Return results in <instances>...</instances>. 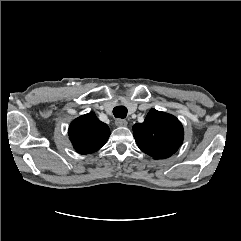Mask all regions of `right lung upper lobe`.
Returning <instances> with one entry per match:
<instances>
[{"mask_svg":"<svg viewBox=\"0 0 241 241\" xmlns=\"http://www.w3.org/2000/svg\"><path fill=\"white\" fill-rule=\"evenodd\" d=\"M68 135L79 154H91L99 150L108 140L109 127L91 112L73 120Z\"/></svg>","mask_w":241,"mask_h":241,"instance_id":"obj_1","label":"right lung upper lobe"}]
</instances>
